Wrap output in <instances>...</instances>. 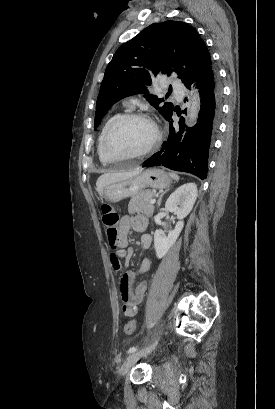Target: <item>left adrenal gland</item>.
Segmentation results:
<instances>
[{
	"label": "left adrenal gland",
	"instance_id": "1",
	"mask_svg": "<svg viewBox=\"0 0 275 409\" xmlns=\"http://www.w3.org/2000/svg\"><path fill=\"white\" fill-rule=\"evenodd\" d=\"M163 194H165V192H161V194H160V196H159V198H158V200H157V202H158V207H160V205H161V200H162Z\"/></svg>",
	"mask_w": 275,
	"mask_h": 409
}]
</instances>
